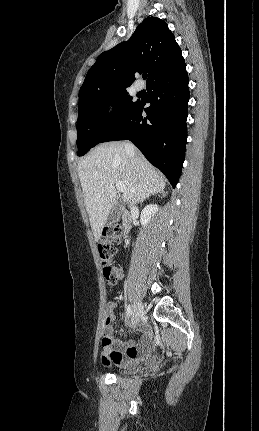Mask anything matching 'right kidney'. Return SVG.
<instances>
[{"label": "right kidney", "instance_id": "1", "mask_svg": "<svg viewBox=\"0 0 259 431\" xmlns=\"http://www.w3.org/2000/svg\"><path fill=\"white\" fill-rule=\"evenodd\" d=\"M156 212H158V206L156 204H149L145 206L140 216L141 224L146 226L150 222L151 217H153Z\"/></svg>", "mask_w": 259, "mask_h": 431}]
</instances>
